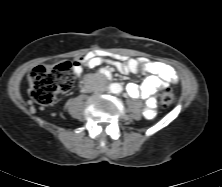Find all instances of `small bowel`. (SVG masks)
<instances>
[{
    "label": "small bowel",
    "instance_id": "1",
    "mask_svg": "<svg viewBox=\"0 0 222 187\" xmlns=\"http://www.w3.org/2000/svg\"><path fill=\"white\" fill-rule=\"evenodd\" d=\"M100 65H108L122 74L147 75L140 84L130 83L127 93L133 98L145 101V115L153 118L156 115L155 93L165 89L169 83H177L178 75L174 68L166 63L150 61L145 58H128L122 55H108L102 52H91L74 63V72L79 75L83 67L95 68Z\"/></svg>",
    "mask_w": 222,
    "mask_h": 187
}]
</instances>
